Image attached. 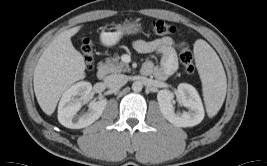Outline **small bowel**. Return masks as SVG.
<instances>
[{"label": "small bowel", "instance_id": "1", "mask_svg": "<svg viewBox=\"0 0 267 166\" xmlns=\"http://www.w3.org/2000/svg\"><path fill=\"white\" fill-rule=\"evenodd\" d=\"M132 45L138 53H156L161 58L159 64L147 60L141 69L144 75H154L158 80L164 81L178 70L177 48L172 38L161 37L151 41L136 40Z\"/></svg>", "mask_w": 267, "mask_h": 166}]
</instances>
